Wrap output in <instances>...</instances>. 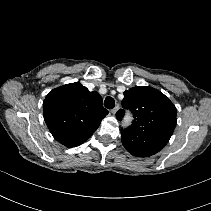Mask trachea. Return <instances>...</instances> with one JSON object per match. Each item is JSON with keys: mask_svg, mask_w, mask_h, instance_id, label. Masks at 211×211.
<instances>
[{"mask_svg": "<svg viewBox=\"0 0 211 211\" xmlns=\"http://www.w3.org/2000/svg\"><path fill=\"white\" fill-rule=\"evenodd\" d=\"M104 106L107 108V109H113L114 106H115V101L112 97L108 96L105 98L104 100Z\"/></svg>", "mask_w": 211, "mask_h": 211, "instance_id": "1", "label": "trachea"}]
</instances>
